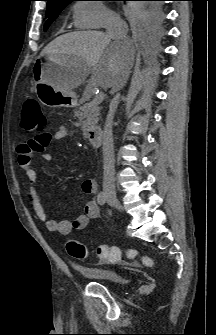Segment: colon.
I'll return each mask as SVG.
<instances>
[{
	"instance_id": "1",
	"label": "colon",
	"mask_w": 216,
	"mask_h": 335,
	"mask_svg": "<svg viewBox=\"0 0 216 335\" xmlns=\"http://www.w3.org/2000/svg\"><path fill=\"white\" fill-rule=\"evenodd\" d=\"M47 121L42 113L39 102L35 98H28L25 100L22 106V120L21 128L26 133L35 132L37 135L29 142V145L33 151H41L46 145V141L49 137V133L46 130ZM65 247L69 255L75 259L83 260L88 256L87 248L78 240L69 238ZM96 254L99 258L106 262H119L123 259V252L119 247L106 245H100ZM125 259L128 262L134 260L137 255V251L129 249L125 252ZM142 262L146 266H152L153 260L149 256H143Z\"/></svg>"
}]
</instances>
